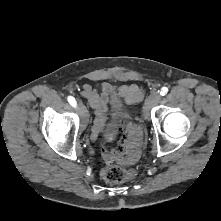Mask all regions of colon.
<instances>
[{
	"mask_svg": "<svg viewBox=\"0 0 221 221\" xmlns=\"http://www.w3.org/2000/svg\"><path fill=\"white\" fill-rule=\"evenodd\" d=\"M142 141L141 129L133 124L126 126L122 133L121 143L117 149H102L104 167L101 177L110 184H118L134 177V169H126L123 165L134 164L140 155Z\"/></svg>",
	"mask_w": 221,
	"mask_h": 221,
	"instance_id": "obj_1",
	"label": "colon"
}]
</instances>
